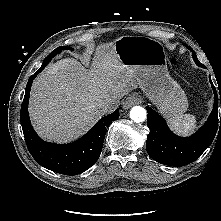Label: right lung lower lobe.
I'll return each instance as SVG.
<instances>
[{"mask_svg": "<svg viewBox=\"0 0 221 221\" xmlns=\"http://www.w3.org/2000/svg\"><path fill=\"white\" fill-rule=\"evenodd\" d=\"M43 61L40 69L29 78L21 105L20 120L29 152L43 167L64 175H78L89 169L98 160L107 127L119 117V110L100 119L83 137L69 144H54L43 141L34 131L28 114V101L32 81L49 63Z\"/></svg>", "mask_w": 221, "mask_h": 221, "instance_id": "98d812e1", "label": "right lung lower lobe"}]
</instances>
